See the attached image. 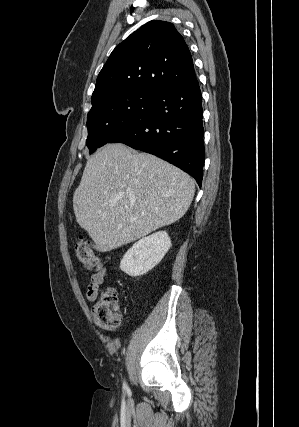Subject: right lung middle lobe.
<instances>
[{
    "instance_id": "right-lung-middle-lobe-1",
    "label": "right lung middle lobe",
    "mask_w": 299,
    "mask_h": 427,
    "mask_svg": "<svg viewBox=\"0 0 299 427\" xmlns=\"http://www.w3.org/2000/svg\"><path fill=\"white\" fill-rule=\"evenodd\" d=\"M152 98L148 94L123 92L93 103L87 119L89 153L130 127L147 110Z\"/></svg>"
}]
</instances>
